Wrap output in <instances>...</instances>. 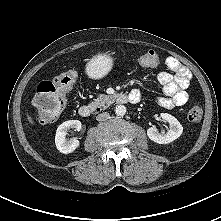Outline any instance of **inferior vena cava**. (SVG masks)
I'll list each match as a JSON object with an SVG mask.
<instances>
[{"mask_svg":"<svg viewBox=\"0 0 221 221\" xmlns=\"http://www.w3.org/2000/svg\"><path fill=\"white\" fill-rule=\"evenodd\" d=\"M108 118H109V113H107V112H103V113L98 114V115L96 116V120H97V121H105V120H107Z\"/></svg>","mask_w":221,"mask_h":221,"instance_id":"inferior-vena-cava-1","label":"inferior vena cava"}]
</instances>
